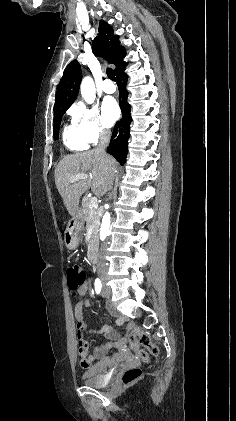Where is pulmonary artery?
Here are the masks:
<instances>
[{"label": "pulmonary artery", "mask_w": 236, "mask_h": 421, "mask_svg": "<svg viewBox=\"0 0 236 421\" xmlns=\"http://www.w3.org/2000/svg\"><path fill=\"white\" fill-rule=\"evenodd\" d=\"M102 89L105 93L112 94L116 92V85L112 82L105 81L102 84Z\"/></svg>", "instance_id": "e3ab8cb5"}]
</instances>
